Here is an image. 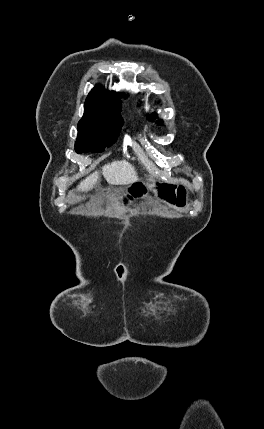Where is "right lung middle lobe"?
I'll use <instances>...</instances> for the list:
<instances>
[{
	"label": "right lung middle lobe",
	"instance_id": "obj_1",
	"mask_svg": "<svg viewBox=\"0 0 264 429\" xmlns=\"http://www.w3.org/2000/svg\"><path fill=\"white\" fill-rule=\"evenodd\" d=\"M82 119L78 123L75 144L77 153L91 150L101 152L117 139L122 127L120 106L85 105Z\"/></svg>",
	"mask_w": 264,
	"mask_h": 429
}]
</instances>
